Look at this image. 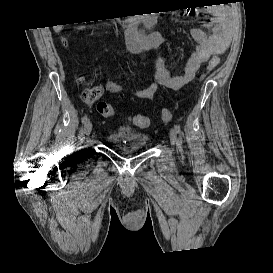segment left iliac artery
I'll list each match as a JSON object with an SVG mask.
<instances>
[{
	"label": "left iliac artery",
	"instance_id": "left-iliac-artery-1",
	"mask_svg": "<svg viewBox=\"0 0 273 273\" xmlns=\"http://www.w3.org/2000/svg\"><path fill=\"white\" fill-rule=\"evenodd\" d=\"M175 129H176L177 133H181L180 125L176 124Z\"/></svg>",
	"mask_w": 273,
	"mask_h": 273
}]
</instances>
